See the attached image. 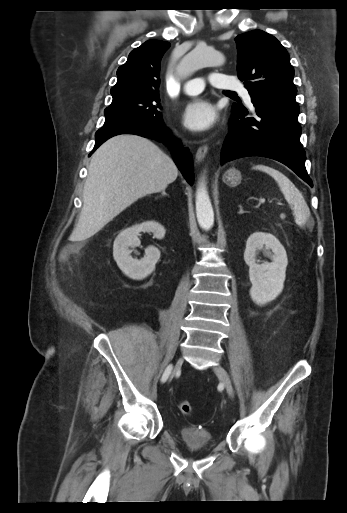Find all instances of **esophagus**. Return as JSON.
<instances>
[{
    "mask_svg": "<svg viewBox=\"0 0 347 513\" xmlns=\"http://www.w3.org/2000/svg\"><path fill=\"white\" fill-rule=\"evenodd\" d=\"M207 152H208V146L207 145L200 146L198 148L197 152H196V161L198 163L202 162L204 160V158L206 157Z\"/></svg>",
    "mask_w": 347,
    "mask_h": 513,
    "instance_id": "esophagus-1",
    "label": "esophagus"
}]
</instances>
